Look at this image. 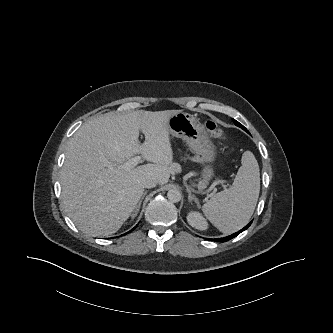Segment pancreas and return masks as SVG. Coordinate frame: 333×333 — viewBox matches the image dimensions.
I'll return each instance as SVG.
<instances>
[{"label":"pancreas","instance_id":"cf45deb5","mask_svg":"<svg viewBox=\"0 0 333 333\" xmlns=\"http://www.w3.org/2000/svg\"><path fill=\"white\" fill-rule=\"evenodd\" d=\"M200 185H201V186H204V185H205V182L201 181V182H200Z\"/></svg>","mask_w":333,"mask_h":333}]
</instances>
